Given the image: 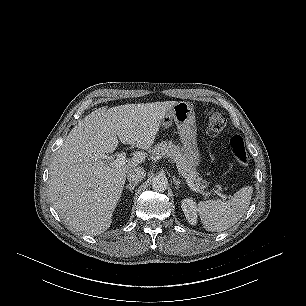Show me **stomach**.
<instances>
[{"label": "stomach", "instance_id": "obj_1", "mask_svg": "<svg viewBox=\"0 0 306 306\" xmlns=\"http://www.w3.org/2000/svg\"><path fill=\"white\" fill-rule=\"evenodd\" d=\"M175 122L184 154L191 159L194 166L199 164V152L196 141V120L193 106L187 102H177L164 116L161 127L168 129Z\"/></svg>", "mask_w": 306, "mask_h": 306}]
</instances>
